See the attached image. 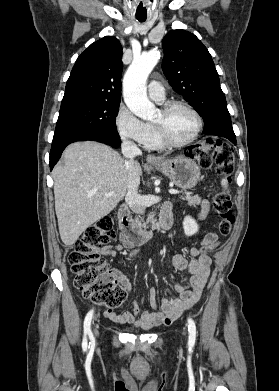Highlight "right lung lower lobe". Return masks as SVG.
Returning <instances> with one entry per match:
<instances>
[{"label": "right lung lower lobe", "mask_w": 279, "mask_h": 391, "mask_svg": "<svg viewBox=\"0 0 279 391\" xmlns=\"http://www.w3.org/2000/svg\"><path fill=\"white\" fill-rule=\"evenodd\" d=\"M82 140H94L98 142H103L111 147H119L121 140L119 138L117 129L113 128H103L98 130H91L77 134L75 136L57 140L52 142V147L50 151V169L52 170L54 165L58 162L63 150L65 147L75 141Z\"/></svg>", "instance_id": "1"}]
</instances>
